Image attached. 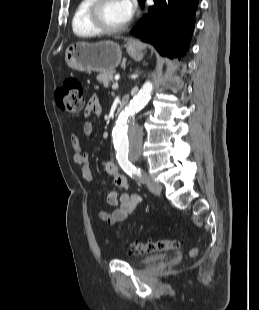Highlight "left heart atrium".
<instances>
[{"mask_svg": "<svg viewBox=\"0 0 259 310\" xmlns=\"http://www.w3.org/2000/svg\"><path fill=\"white\" fill-rule=\"evenodd\" d=\"M122 7L124 9L126 20H130L136 9V4L134 0H120Z\"/></svg>", "mask_w": 259, "mask_h": 310, "instance_id": "1", "label": "left heart atrium"}]
</instances>
